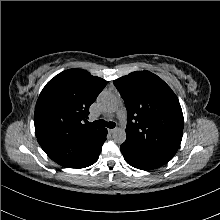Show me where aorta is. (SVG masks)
<instances>
[{"mask_svg": "<svg viewBox=\"0 0 220 220\" xmlns=\"http://www.w3.org/2000/svg\"><path fill=\"white\" fill-rule=\"evenodd\" d=\"M98 103L100 107L104 110L111 111L114 110L117 101L116 98L111 94L107 92H103L98 97ZM112 138L115 143L122 144L126 140V132L123 128H117L113 131Z\"/></svg>", "mask_w": 220, "mask_h": 220, "instance_id": "aorta-1", "label": "aorta"}]
</instances>
